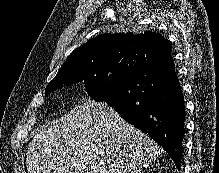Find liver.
Listing matches in <instances>:
<instances>
[{
	"mask_svg": "<svg viewBox=\"0 0 219 173\" xmlns=\"http://www.w3.org/2000/svg\"><path fill=\"white\" fill-rule=\"evenodd\" d=\"M159 146L103 102L88 101L35 132L29 173H138Z\"/></svg>",
	"mask_w": 219,
	"mask_h": 173,
	"instance_id": "liver-1",
	"label": "liver"
}]
</instances>
